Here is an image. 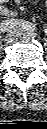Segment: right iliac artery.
<instances>
[{"instance_id":"1","label":"right iliac artery","mask_w":47,"mask_h":129,"mask_svg":"<svg viewBox=\"0 0 47 129\" xmlns=\"http://www.w3.org/2000/svg\"><path fill=\"white\" fill-rule=\"evenodd\" d=\"M15 28L24 29V30L31 31V32L35 30L34 25L28 21L10 19V20H6V22L2 24L1 31L5 33Z\"/></svg>"}]
</instances>
